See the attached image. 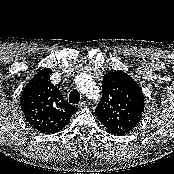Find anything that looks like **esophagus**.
<instances>
[{"mask_svg":"<svg viewBox=\"0 0 174 174\" xmlns=\"http://www.w3.org/2000/svg\"><path fill=\"white\" fill-rule=\"evenodd\" d=\"M87 105V102L85 100H82L79 104V108H83Z\"/></svg>","mask_w":174,"mask_h":174,"instance_id":"esophagus-1","label":"esophagus"}]
</instances>
